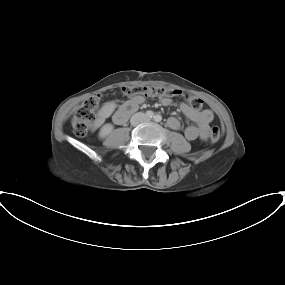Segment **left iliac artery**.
Instances as JSON below:
<instances>
[{
    "mask_svg": "<svg viewBox=\"0 0 285 285\" xmlns=\"http://www.w3.org/2000/svg\"><path fill=\"white\" fill-rule=\"evenodd\" d=\"M161 119H162V117H161L160 115H155V116H154V120H155L156 122H160Z\"/></svg>",
    "mask_w": 285,
    "mask_h": 285,
    "instance_id": "44dca946",
    "label": "left iliac artery"
}]
</instances>
